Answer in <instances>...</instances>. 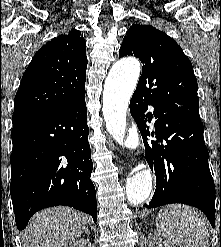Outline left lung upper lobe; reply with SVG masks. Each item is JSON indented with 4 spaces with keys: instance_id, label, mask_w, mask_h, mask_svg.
<instances>
[{
    "instance_id": "1",
    "label": "left lung upper lobe",
    "mask_w": 221,
    "mask_h": 247,
    "mask_svg": "<svg viewBox=\"0 0 221 247\" xmlns=\"http://www.w3.org/2000/svg\"><path fill=\"white\" fill-rule=\"evenodd\" d=\"M127 55L143 63L135 94L166 114L201 122L193 67L175 40L151 25L134 24L119 51V58Z\"/></svg>"
}]
</instances>
